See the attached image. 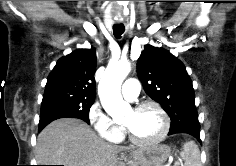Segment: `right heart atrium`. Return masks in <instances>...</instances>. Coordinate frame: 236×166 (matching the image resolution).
I'll use <instances>...</instances> for the list:
<instances>
[{"instance_id": "1", "label": "right heart atrium", "mask_w": 236, "mask_h": 166, "mask_svg": "<svg viewBox=\"0 0 236 166\" xmlns=\"http://www.w3.org/2000/svg\"><path fill=\"white\" fill-rule=\"evenodd\" d=\"M88 120L99 137L113 142L121 139L122 128L104 111L98 101L90 106Z\"/></svg>"}]
</instances>
